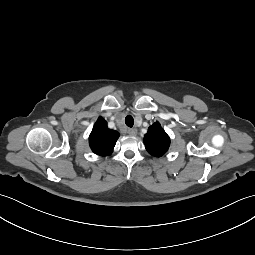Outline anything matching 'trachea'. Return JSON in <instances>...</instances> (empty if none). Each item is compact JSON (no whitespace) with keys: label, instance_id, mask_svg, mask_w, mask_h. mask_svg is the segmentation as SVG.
<instances>
[{"label":"trachea","instance_id":"3493384b","mask_svg":"<svg viewBox=\"0 0 255 255\" xmlns=\"http://www.w3.org/2000/svg\"><path fill=\"white\" fill-rule=\"evenodd\" d=\"M125 123L128 127H132L134 124V119L131 115L126 116Z\"/></svg>","mask_w":255,"mask_h":255}]
</instances>
